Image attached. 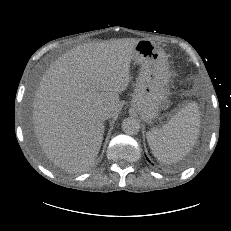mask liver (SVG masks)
<instances>
[{
  "label": "liver",
  "instance_id": "1",
  "mask_svg": "<svg viewBox=\"0 0 231 231\" xmlns=\"http://www.w3.org/2000/svg\"><path fill=\"white\" fill-rule=\"evenodd\" d=\"M137 42L122 38L77 46L43 75L32 119L38 142L55 165L81 172L94 163L105 129L99 113L107 108L110 117L118 114Z\"/></svg>",
  "mask_w": 231,
  "mask_h": 231
}]
</instances>
